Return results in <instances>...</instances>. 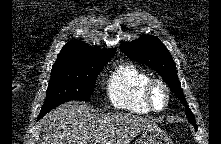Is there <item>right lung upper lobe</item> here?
<instances>
[{"mask_svg":"<svg viewBox=\"0 0 221 144\" xmlns=\"http://www.w3.org/2000/svg\"><path fill=\"white\" fill-rule=\"evenodd\" d=\"M115 52L114 48L99 49L79 40H73L61 49L54 66L105 63L114 56Z\"/></svg>","mask_w":221,"mask_h":144,"instance_id":"cb5924a9","label":"right lung upper lobe"}]
</instances>
